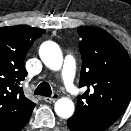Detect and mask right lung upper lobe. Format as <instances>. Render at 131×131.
I'll return each instance as SVG.
<instances>
[{
	"instance_id": "obj_1",
	"label": "right lung upper lobe",
	"mask_w": 131,
	"mask_h": 131,
	"mask_svg": "<svg viewBox=\"0 0 131 131\" xmlns=\"http://www.w3.org/2000/svg\"><path fill=\"white\" fill-rule=\"evenodd\" d=\"M45 30L28 25L0 28V131H20L35 104L24 96L25 56Z\"/></svg>"
}]
</instances>
